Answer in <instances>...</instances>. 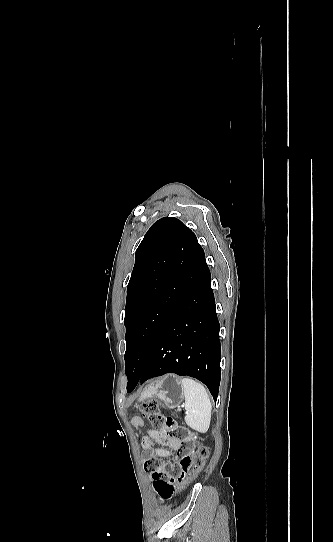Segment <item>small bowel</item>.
Returning a JSON list of instances; mask_svg holds the SVG:
<instances>
[{"instance_id":"obj_1","label":"small bowel","mask_w":333,"mask_h":542,"mask_svg":"<svg viewBox=\"0 0 333 542\" xmlns=\"http://www.w3.org/2000/svg\"><path fill=\"white\" fill-rule=\"evenodd\" d=\"M132 424L136 429H145L146 431V435L141 438L142 448L149 452L142 455V460L144 462H149L151 460V456L168 457L170 455V450L179 451L181 449L179 442L168 438L163 432L157 429L146 427L141 417H134L132 419ZM157 445L165 446L169 449L161 448ZM154 482H158L160 484H170V480L167 478H154Z\"/></svg>"}]
</instances>
